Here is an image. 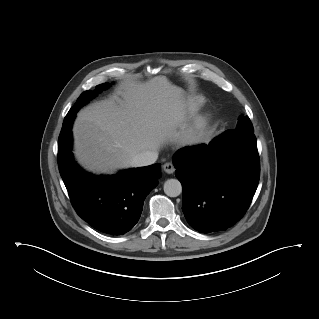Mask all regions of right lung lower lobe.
<instances>
[{"label":"right lung lower lobe","mask_w":319,"mask_h":319,"mask_svg":"<svg viewBox=\"0 0 319 319\" xmlns=\"http://www.w3.org/2000/svg\"><path fill=\"white\" fill-rule=\"evenodd\" d=\"M71 131L58 140L61 177L78 215L110 235L130 231L138 222L145 197L158 184L160 164L121 171L110 176L84 172L72 156Z\"/></svg>","instance_id":"1"}]
</instances>
